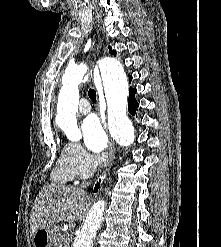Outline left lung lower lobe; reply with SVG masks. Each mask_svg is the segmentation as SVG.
Returning <instances> with one entry per match:
<instances>
[{"instance_id":"left-lung-lower-lobe-1","label":"left lung lower lobe","mask_w":221,"mask_h":247,"mask_svg":"<svg viewBox=\"0 0 221 247\" xmlns=\"http://www.w3.org/2000/svg\"><path fill=\"white\" fill-rule=\"evenodd\" d=\"M129 80L131 82L132 77L129 76ZM135 93H136V89L130 87L129 89V99H128V110L130 112V114L135 115L136 114V110L138 108V102L135 98Z\"/></svg>"}]
</instances>
